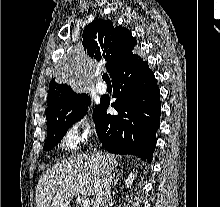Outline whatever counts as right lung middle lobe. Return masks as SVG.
I'll use <instances>...</instances> for the list:
<instances>
[{
  "mask_svg": "<svg viewBox=\"0 0 220 207\" xmlns=\"http://www.w3.org/2000/svg\"><path fill=\"white\" fill-rule=\"evenodd\" d=\"M90 102L88 94L76 93L65 100L57 110L46 116L48 137L44 144V150L50 151L62 140L72 124L85 115L84 107Z\"/></svg>",
  "mask_w": 220,
  "mask_h": 207,
  "instance_id": "obj_1",
  "label": "right lung middle lobe"
}]
</instances>
